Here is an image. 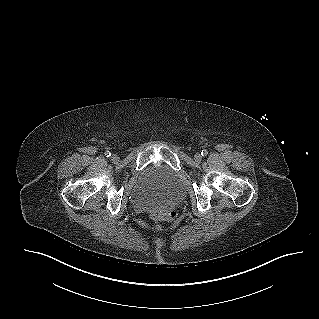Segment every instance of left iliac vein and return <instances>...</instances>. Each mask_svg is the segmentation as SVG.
Masks as SVG:
<instances>
[{"label":"left iliac vein","instance_id":"left-iliac-vein-1","mask_svg":"<svg viewBox=\"0 0 319 319\" xmlns=\"http://www.w3.org/2000/svg\"><path fill=\"white\" fill-rule=\"evenodd\" d=\"M194 159L196 162H200L202 160V156L200 153H196L194 156Z\"/></svg>","mask_w":319,"mask_h":319}]
</instances>
